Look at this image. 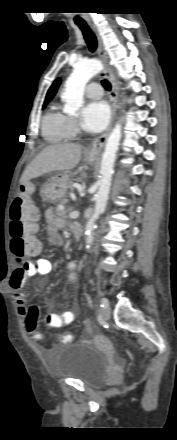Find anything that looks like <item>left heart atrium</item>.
Wrapping results in <instances>:
<instances>
[{
	"label": "left heart atrium",
	"instance_id": "left-heart-atrium-1",
	"mask_svg": "<svg viewBox=\"0 0 177 440\" xmlns=\"http://www.w3.org/2000/svg\"><path fill=\"white\" fill-rule=\"evenodd\" d=\"M109 108L103 101L88 103L81 112V126L85 131L97 133L108 124Z\"/></svg>",
	"mask_w": 177,
	"mask_h": 440
}]
</instances>
